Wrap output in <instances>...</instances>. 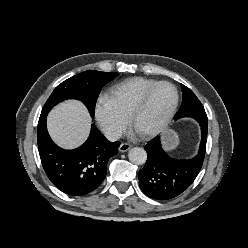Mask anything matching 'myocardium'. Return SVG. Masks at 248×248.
<instances>
[{"label": "myocardium", "mask_w": 248, "mask_h": 248, "mask_svg": "<svg viewBox=\"0 0 248 248\" xmlns=\"http://www.w3.org/2000/svg\"><path fill=\"white\" fill-rule=\"evenodd\" d=\"M162 85L169 86L174 91V100H173V103H172V106L169 112L167 113L165 118L159 124H157L154 128L148 131H145V132H137L135 130V122H136L138 115L145 108L153 91L157 87L162 86ZM178 102H179V93H178V89L176 88V86L168 81H157L156 83H154L153 85H151L148 89L144 91V93L141 95L139 100L136 102V104L131 109L129 117H128L129 125L133 130H135L138 133V135H140L143 138H152L154 136H157L169 125V123L173 119L176 113V110H177Z\"/></svg>", "instance_id": "obj_1"}]
</instances>
